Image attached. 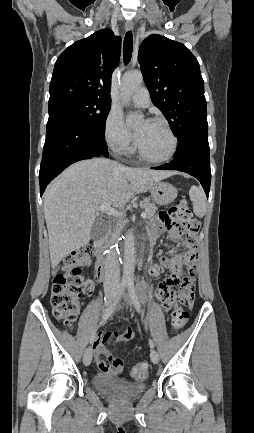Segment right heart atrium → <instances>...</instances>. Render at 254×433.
<instances>
[{
    "label": "right heart atrium",
    "instance_id": "right-heart-atrium-1",
    "mask_svg": "<svg viewBox=\"0 0 254 433\" xmlns=\"http://www.w3.org/2000/svg\"><path fill=\"white\" fill-rule=\"evenodd\" d=\"M104 139L107 145L118 154H127L134 147V139L126 127L122 115L111 110L104 123Z\"/></svg>",
    "mask_w": 254,
    "mask_h": 433
}]
</instances>
